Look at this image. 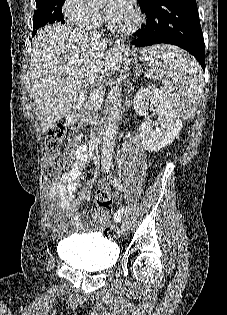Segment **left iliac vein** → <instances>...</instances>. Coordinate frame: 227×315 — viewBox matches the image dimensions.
<instances>
[{
  "mask_svg": "<svg viewBox=\"0 0 227 315\" xmlns=\"http://www.w3.org/2000/svg\"><path fill=\"white\" fill-rule=\"evenodd\" d=\"M130 229V222L128 220L124 221L122 224V233L125 234Z\"/></svg>",
  "mask_w": 227,
  "mask_h": 315,
  "instance_id": "left-iliac-vein-1",
  "label": "left iliac vein"
}]
</instances>
